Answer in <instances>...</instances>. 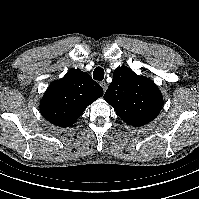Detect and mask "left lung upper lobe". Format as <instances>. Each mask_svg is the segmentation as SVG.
<instances>
[{
	"instance_id": "left-lung-upper-lobe-1",
	"label": "left lung upper lobe",
	"mask_w": 199,
	"mask_h": 199,
	"mask_svg": "<svg viewBox=\"0 0 199 199\" xmlns=\"http://www.w3.org/2000/svg\"><path fill=\"white\" fill-rule=\"evenodd\" d=\"M104 99L114 107L122 120L134 127L154 120L163 104L158 87L150 79L137 75L126 66L114 71Z\"/></svg>"
}]
</instances>
